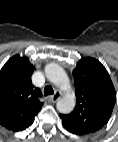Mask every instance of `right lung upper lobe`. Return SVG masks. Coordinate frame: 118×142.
<instances>
[{
  "mask_svg": "<svg viewBox=\"0 0 118 142\" xmlns=\"http://www.w3.org/2000/svg\"><path fill=\"white\" fill-rule=\"evenodd\" d=\"M34 70L27 57L15 55L0 71V125L8 130L28 128L43 105L40 89L31 82Z\"/></svg>",
  "mask_w": 118,
  "mask_h": 142,
  "instance_id": "1",
  "label": "right lung upper lobe"
}]
</instances>
